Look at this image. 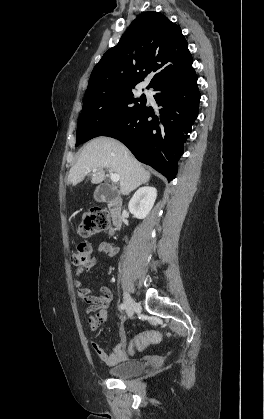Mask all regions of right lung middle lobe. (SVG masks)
Wrapping results in <instances>:
<instances>
[{
    "label": "right lung middle lobe",
    "mask_w": 264,
    "mask_h": 419,
    "mask_svg": "<svg viewBox=\"0 0 264 419\" xmlns=\"http://www.w3.org/2000/svg\"><path fill=\"white\" fill-rule=\"evenodd\" d=\"M146 103L145 95L136 98L132 90L86 96L77 125L76 146L103 136Z\"/></svg>",
    "instance_id": "right-lung-middle-lobe-1"
}]
</instances>
